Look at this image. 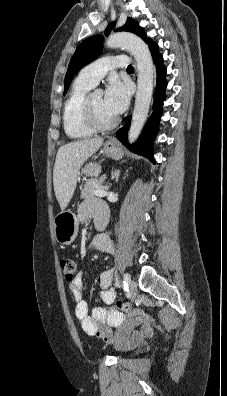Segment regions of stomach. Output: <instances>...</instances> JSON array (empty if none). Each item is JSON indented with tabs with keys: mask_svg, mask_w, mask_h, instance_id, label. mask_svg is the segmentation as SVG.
<instances>
[{
	"mask_svg": "<svg viewBox=\"0 0 227 396\" xmlns=\"http://www.w3.org/2000/svg\"><path fill=\"white\" fill-rule=\"evenodd\" d=\"M102 152L114 159H120L123 155L122 149L111 142H106ZM84 174L96 177L101 172V166L97 163H89L84 167ZM79 222L76 215L71 211H61L54 218V233L56 240L63 245H70L78 234Z\"/></svg>",
	"mask_w": 227,
	"mask_h": 396,
	"instance_id": "1",
	"label": "stomach"
}]
</instances>
